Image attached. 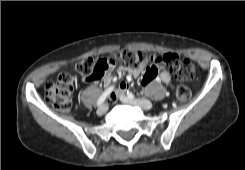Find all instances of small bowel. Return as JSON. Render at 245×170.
<instances>
[{
  "instance_id": "c3829d8e",
  "label": "small bowel",
  "mask_w": 245,
  "mask_h": 170,
  "mask_svg": "<svg viewBox=\"0 0 245 170\" xmlns=\"http://www.w3.org/2000/svg\"><path fill=\"white\" fill-rule=\"evenodd\" d=\"M126 73V70L124 68H119L117 70V74L118 76L122 77L124 76ZM140 74V71H134L132 73L133 76H138ZM152 80V73L148 70H146L143 74L142 80H141V84L143 86H146L150 83V81ZM159 80L162 82V84L170 89V90H174V85L172 83V76H171V70L169 68H164L159 75ZM103 81L105 83V85H109L114 81V77L112 76L111 72H108L104 75L103 77ZM130 79L128 78L126 81L121 83V88L122 89H127L130 87Z\"/></svg>"
}]
</instances>
